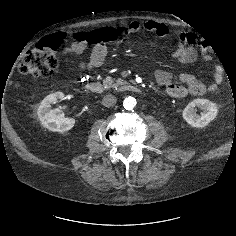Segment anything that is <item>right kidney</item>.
I'll return each mask as SVG.
<instances>
[{
    "instance_id": "right-kidney-1",
    "label": "right kidney",
    "mask_w": 236,
    "mask_h": 236,
    "mask_svg": "<svg viewBox=\"0 0 236 236\" xmlns=\"http://www.w3.org/2000/svg\"><path fill=\"white\" fill-rule=\"evenodd\" d=\"M63 99L64 94L62 92L50 94L42 100L38 108L37 114L42 125L50 131L66 132L72 129L76 122L73 118H65L61 109H51L54 102Z\"/></svg>"
}]
</instances>
